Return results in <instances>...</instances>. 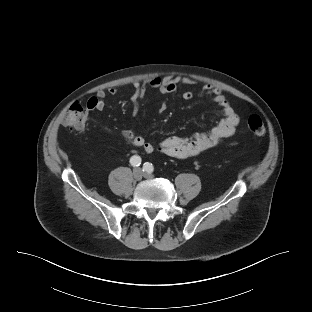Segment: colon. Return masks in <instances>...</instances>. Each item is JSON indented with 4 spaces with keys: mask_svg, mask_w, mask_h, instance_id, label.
Here are the masks:
<instances>
[{
    "mask_svg": "<svg viewBox=\"0 0 312 312\" xmlns=\"http://www.w3.org/2000/svg\"><path fill=\"white\" fill-rule=\"evenodd\" d=\"M88 115V109L83 104L75 102L67 110L63 119V125L71 130H82L86 125ZM247 126L253 136L260 137L265 134V125L260 116H250Z\"/></svg>",
    "mask_w": 312,
    "mask_h": 312,
    "instance_id": "colon-1",
    "label": "colon"
}]
</instances>
